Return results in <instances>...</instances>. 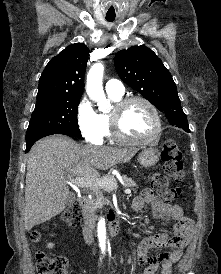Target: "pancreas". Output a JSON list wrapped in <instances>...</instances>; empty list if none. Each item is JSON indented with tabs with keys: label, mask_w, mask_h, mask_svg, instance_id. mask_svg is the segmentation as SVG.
I'll use <instances>...</instances> for the list:
<instances>
[{
	"label": "pancreas",
	"mask_w": 221,
	"mask_h": 274,
	"mask_svg": "<svg viewBox=\"0 0 221 274\" xmlns=\"http://www.w3.org/2000/svg\"><path fill=\"white\" fill-rule=\"evenodd\" d=\"M113 180L115 181V179ZM122 180L124 181L126 187H129L134 192H136L138 186L132 179L128 178L127 176H123ZM103 190L108 191L109 189L104 188ZM108 203V199L103 196V191L97 188L92 189L91 199L88 201L87 207L92 213H94L96 209L101 208L103 205Z\"/></svg>",
	"instance_id": "1"
}]
</instances>
